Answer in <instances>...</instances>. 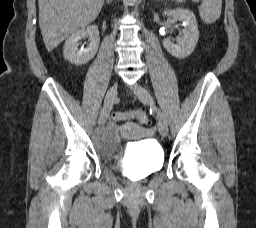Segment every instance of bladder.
<instances>
[{"label": "bladder", "instance_id": "obj_1", "mask_svg": "<svg viewBox=\"0 0 256 228\" xmlns=\"http://www.w3.org/2000/svg\"><path fill=\"white\" fill-rule=\"evenodd\" d=\"M121 135L117 127H109L94 137L97 152L105 159L118 158ZM125 161L118 162L119 170H127L137 179L145 178L160 170L164 162L162 148L153 141H143L129 146L125 151Z\"/></svg>", "mask_w": 256, "mask_h": 228}]
</instances>
